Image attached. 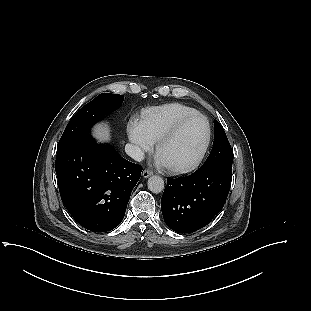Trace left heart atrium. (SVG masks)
Instances as JSON below:
<instances>
[{
	"label": "left heart atrium",
	"mask_w": 311,
	"mask_h": 311,
	"mask_svg": "<svg viewBox=\"0 0 311 311\" xmlns=\"http://www.w3.org/2000/svg\"><path fill=\"white\" fill-rule=\"evenodd\" d=\"M156 162L160 166H165V163L162 161V159L157 155Z\"/></svg>",
	"instance_id": "39dd6f15"
}]
</instances>
